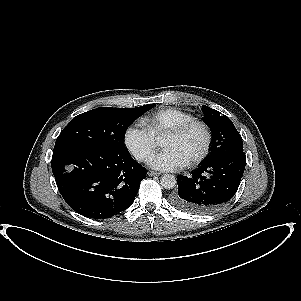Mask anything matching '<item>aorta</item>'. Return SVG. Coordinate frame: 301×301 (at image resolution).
<instances>
[{
	"mask_svg": "<svg viewBox=\"0 0 301 301\" xmlns=\"http://www.w3.org/2000/svg\"><path fill=\"white\" fill-rule=\"evenodd\" d=\"M160 184L165 189H172L176 186L177 180L176 177L172 174H164L160 178Z\"/></svg>",
	"mask_w": 301,
	"mask_h": 301,
	"instance_id": "aorta-1",
	"label": "aorta"
}]
</instances>
